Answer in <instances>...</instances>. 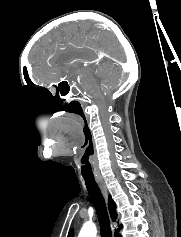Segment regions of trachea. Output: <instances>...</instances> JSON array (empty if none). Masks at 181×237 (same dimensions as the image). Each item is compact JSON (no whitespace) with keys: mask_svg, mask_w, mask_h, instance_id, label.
Instances as JSON below:
<instances>
[{"mask_svg":"<svg viewBox=\"0 0 181 237\" xmlns=\"http://www.w3.org/2000/svg\"><path fill=\"white\" fill-rule=\"evenodd\" d=\"M89 196L94 204L100 224L101 237H112L110 220L102 193L94 178L84 177Z\"/></svg>","mask_w":181,"mask_h":237,"instance_id":"3493384b","label":"trachea"}]
</instances>
